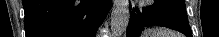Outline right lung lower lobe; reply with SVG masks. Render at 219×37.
<instances>
[{
  "label": "right lung lower lobe",
  "mask_w": 219,
  "mask_h": 37,
  "mask_svg": "<svg viewBox=\"0 0 219 37\" xmlns=\"http://www.w3.org/2000/svg\"><path fill=\"white\" fill-rule=\"evenodd\" d=\"M26 37H95L110 0H23Z\"/></svg>",
  "instance_id": "1"
}]
</instances>
